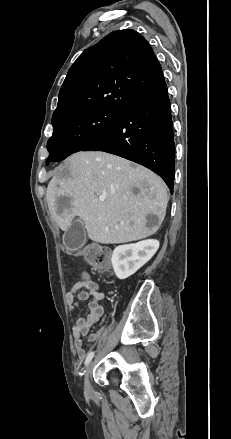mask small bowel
<instances>
[{
  "instance_id": "c3829d8e",
  "label": "small bowel",
  "mask_w": 231,
  "mask_h": 439,
  "mask_svg": "<svg viewBox=\"0 0 231 439\" xmlns=\"http://www.w3.org/2000/svg\"><path fill=\"white\" fill-rule=\"evenodd\" d=\"M105 296L97 282L92 279L74 283L66 295V302L71 310L78 307V301L89 300V312L84 317L76 318L72 323V334L74 346L80 359L85 357L83 339L88 337V341H97L103 330H99L88 335L90 328L102 317L104 308L102 300Z\"/></svg>"
}]
</instances>
